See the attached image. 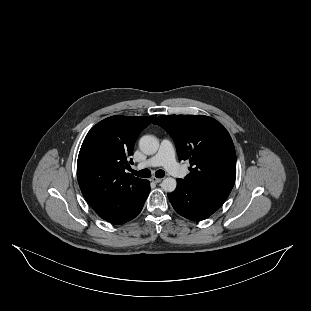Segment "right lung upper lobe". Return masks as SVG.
<instances>
[{"instance_id": "right-lung-upper-lobe-1", "label": "right lung upper lobe", "mask_w": 311, "mask_h": 311, "mask_svg": "<svg viewBox=\"0 0 311 311\" xmlns=\"http://www.w3.org/2000/svg\"><path fill=\"white\" fill-rule=\"evenodd\" d=\"M155 116L116 115L97 123L86 135L77 161V179L85 199L103 219L126 205L142 189L145 180L130 176L129 156L143 129Z\"/></svg>"}]
</instances>
